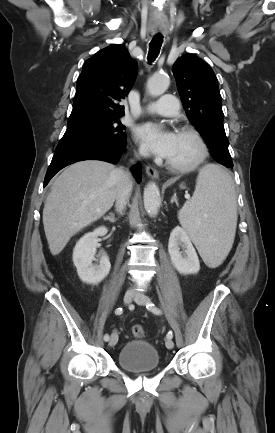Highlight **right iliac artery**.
Listing matches in <instances>:
<instances>
[{
    "instance_id": "1",
    "label": "right iliac artery",
    "mask_w": 275,
    "mask_h": 433,
    "mask_svg": "<svg viewBox=\"0 0 275 433\" xmlns=\"http://www.w3.org/2000/svg\"><path fill=\"white\" fill-rule=\"evenodd\" d=\"M123 313V309L120 307V308H117L116 310H115V314L116 315H121ZM104 340L105 341H108L109 340V335L108 334H105L104 335Z\"/></svg>"
}]
</instances>
